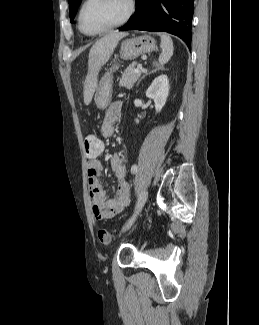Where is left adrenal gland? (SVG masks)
<instances>
[{"label":"left adrenal gland","mask_w":259,"mask_h":325,"mask_svg":"<svg viewBox=\"0 0 259 325\" xmlns=\"http://www.w3.org/2000/svg\"><path fill=\"white\" fill-rule=\"evenodd\" d=\"M153 65H154L156 68H155L154 70H152L151 72L146 73L145 75H143V76L141 77V79L138 81V84H139L140 81H141L142 79H144L147 75H150L151 73H154V72L159 71L160 69H162V68L159 67L156 63H153Z\"/></svg>","instance_id":"left-adrenal-gland-1"}]
</instances>
